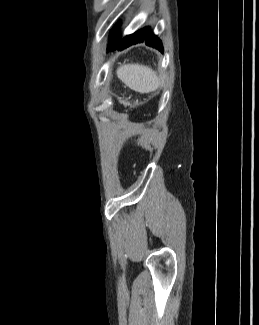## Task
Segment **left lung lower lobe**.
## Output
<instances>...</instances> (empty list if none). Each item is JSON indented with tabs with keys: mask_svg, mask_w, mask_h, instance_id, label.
Here are the masks:
<instances>
[{
	"mask_svg": "<svg viewBox=\"0 0 259 325\" xmlns=\"http://www.w3.org/2000/svg\"><path fill=\"white\" fill-rule=\"evenodd\" d=\"M118 28L119 26L116 25V27L111 31L108 50H122L133 44L145 42L146 45L156 48L159 51H163L161 40L150 31L149 27L138 30L121 40H118Z\"/></svg>",
	"mask_w": 259,
	"mask_h": 325,
	"instance_id": "obj_1",
	"label": "left lung lower lobe"
}]
</instances>
